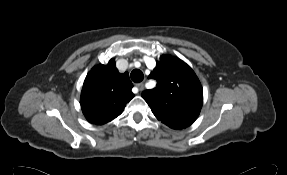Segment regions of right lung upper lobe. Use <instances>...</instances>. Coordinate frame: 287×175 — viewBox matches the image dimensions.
<instances>
[{
	"mask_svg": "<svg viewBox=\"0 0 287 175\" xmlns=\"http://www.w3.org/2000/svg\"><path fill=\"white\" fill-rule=\"evenodd\" d=\"M132 87L128 73H119L113 59L107 65L95 66L87 74L81 93L86 119L96 125L115 119L134 97Z\"/></svg>",
	"mask_w": 287,
	"mask_h": 175,
	"instance_id": "right-lung-upper-lobe-1",
	"label": "right lung upper lobe"
}]
</instances>
